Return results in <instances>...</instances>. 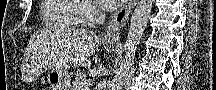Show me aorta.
<instances>
[{
    "mask_svg": "<svg viewBox=\"0 0 216 90\" xmlns=\"http://www.w3.org/2000/svg\"><path fill=\"white\" fill-rule=\"evenodd\" d=\"M152 8V0H139L138 4H136L127 30V50L124 62H122L119 72H116L111 90H123L129 68L132 66L133 60H135L136 52L141 38H143Z\"/></svg>",
    "mask_w": 216,
    "mask_h": 90,
    "instance_id": "aorta-1",
    "label": "aorta"
}]
</instances>
